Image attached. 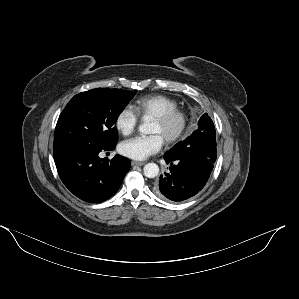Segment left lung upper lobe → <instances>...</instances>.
I'll return each mask as SVG.
<instances>
[{"mask_svg": "<svg viewBox=\"0 0 299 299\" xmlns=\"http://www.w3.org/2000/svg\"><path fill=\"white\" fill-rule=\"evenodd\" d=\"M201 139H206L209 142L208 147L212 151L211 157L216 160L217 158V150H216V131L213 124V121L205 113L200 120L198 121V128L195 130L189 137L185 140L177 143L172 149L166 152L167 155H172L181 149H184L187 146L195 145L196 141H200Z\"/></svg>", "mask_w": 299, "mask_h": 299, "instance_id": "obj_1", "label": "left lung upper lobe"}]
</instances>
